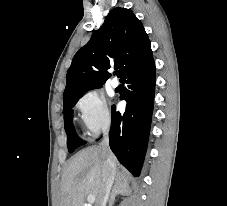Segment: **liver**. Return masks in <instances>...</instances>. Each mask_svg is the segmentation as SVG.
Instances as JSON below:
<instances>
[{
    "mask_svg": "<svg viewBox=\"0 0 227 206\" xmlns=\"http://www.w3.org/2000/svg\"><path fill=\"white\" fill-rule=\"evenodd\" d=\"M105 159L101 145L87 147L72 157L62 177L59 206H84L85 198L89 194L95 196L94 206H101L107 179L103 172ZM114 159L116 164L114 187L126 190L127 177L117 169L115 156Z\"/></svg>",
    "mask_w": 227,
    "mask_h": 206,
    "instance_id": "liver-1",
    "label": "liver"
}]
</instances>
